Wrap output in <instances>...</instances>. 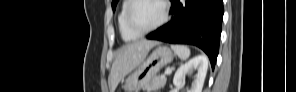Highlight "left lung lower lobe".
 Segmentation results:
<instances>
[{
	"mask_svg": "<svg viewBox=\"0 0 296 92\" xmlns=\"http://www.w3.org/2000/svg\"><path fill=\"white\" fill-rule=\"evenodd\" d=\"M171 20L147 35V39L190 44L201 48L212 68L219 50L223 0H171Z\"/></svg>",
	"mask_w": 296,
	"mask_h": 92,
	"instance_id": "1",
	"label": "left lung lower lobe"
}]
</instances>
